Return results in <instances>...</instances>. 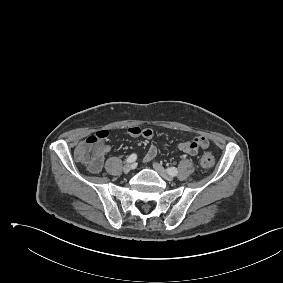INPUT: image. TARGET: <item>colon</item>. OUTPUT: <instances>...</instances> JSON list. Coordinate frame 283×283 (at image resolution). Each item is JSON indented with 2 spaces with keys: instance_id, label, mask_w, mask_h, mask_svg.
<instances>
[{
  "instance_id": "5ec220e1",
  "label": "colon",
  "mask_w": 283,
  "mask_h": 283,
  "mask_svg": "<svg viewBox=\"0 0 283 283\" xmlns=\"http://www.w3.org/2000/svg\"><path fill=\"white\" fill-rule=\"evenodd\" d=\"M106 137V131H99L87 137L76 148V158L90 169L97 170L102 160V141ZM200 163L203 168L209 169L215 164V156L213 153L207 151L201 156Z\"/></svg>"
}]
</instances>
